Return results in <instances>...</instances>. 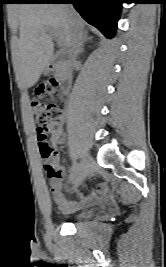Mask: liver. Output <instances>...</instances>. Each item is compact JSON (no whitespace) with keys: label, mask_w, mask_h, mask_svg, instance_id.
<instances>
[{"label":"liver","mask_w":166,"mask_h":267,"mask_svg":"<svg viewBox=\"0 0 166 267\" xmlns=\"http://www.w3.org/2000/svg\"><path fill=\"white\" fill-rule=\"evenodd\" d=\"M63 4H22L18 7L19 40L14 51V70L19 87L30 88L52 60L54 44L47 28H54L69 47V26L84 20Z\"/></svg>","instance_id":"1"}]
</instances>
